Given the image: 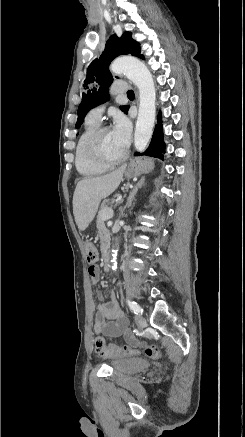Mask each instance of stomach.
<instances>
[{
	"label": "stomach",
	"mask_w": 245,
	"mask_h": 437,
	"mask_svg": "<svg viewBox=\"0 0 245 437\" xmlns=\"http://www.w3.org/2000/svg\"><path fill=\"white\" fill-rule=\"evenodd\" d=\"M153 168V163L147 158H137L132 160L125 170V177L130 179L137 177L143 173L151 171Z\"/></svg>",
	"instance_id": "obj_1"
}]
</instances>
